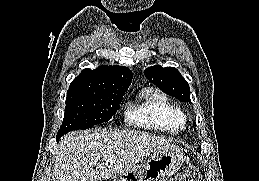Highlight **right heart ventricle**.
<instances>
[{"label": "right heart ventricle", "instance_id": "right-heart-ventricle-1", "mask_svg": "<svg viewBox=\"0 0 259 181\" xmlns=\"http://www.w3.org/2000/svg\"><path fill=\"white\" fill-rule=\"evenodd\" d=\"M125 120L140 128L177 134L184 128L185 116L165 93L145 88L126 108Z\"/></svg>", "mask_w": 259, "mask_h": 181}]
</instances>
